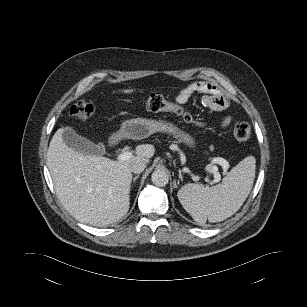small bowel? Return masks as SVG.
<instances>
[{
    "mask_svg": "<svg viewBox=\"0 0 307 307\" xmlns=\"http://www.w3.org/2000/svg\"><path fill=\"white\" fill-rule=\"evenodd\" d=\"M196 93L202 94L203 103L212 110L221 111L228 107V99L217 86L207 81H196L182 88L177 94V102L185 104ZM229 122L230 119L225 118L222 126H227Z\"/></svg>",
    "mask_w": 307,
    "mask_h": 307,
    "instance_id": "1",
    "label": "small bowel"
}]
</instances>
